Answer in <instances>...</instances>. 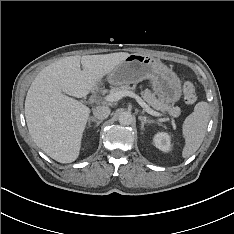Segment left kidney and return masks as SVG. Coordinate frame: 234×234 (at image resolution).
I'll list each match as a JSON object with an SVG mask.
<instances>
[{
    "instance_id": "5707ae66",
    "label": "left kidney",
    "mask_w": 234,
    "mask_h": 234,
    "mask_svg": "<svg viewBox=\"0 0 234 234\" xmlns=\"http://www.w3.org/2000/svg\"><path fill=\"white\" fill-rule=\"evenodd\" d=\"M170 139L171 137L169 134L160 132L154 136L153 142L158 149L162 150L163 152H169L172 149Z\"/></svg>"
}]
</instances>
